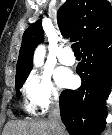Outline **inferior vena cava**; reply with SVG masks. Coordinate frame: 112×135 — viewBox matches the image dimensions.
I'll use <instances>...</instances> for the list:
<instances>
[{
    "label": "inferior vena cava",
    "instance_id": "obj_1",
    "mask_svg": "<svg viewBox=\"0 0 112 135\" xmlns=\"http://www.w3.org/2000/svg\"><path fill=\"white\" fill-rule=\"evenodd\" d=\"M49 123L53 129L54 135H63L64 128L60 117V106L56 99L50 110Z\"/></svg>",
    "mask_w": 112,
    "mask_h": 135
}]
</instances>
